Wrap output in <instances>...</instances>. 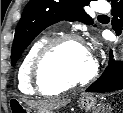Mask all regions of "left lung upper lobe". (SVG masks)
<instances>
[{"label":"left lung upper lobe","instance_id":"left-lung-upper-lobe-1","mask_svg":"<svg viewBox=\"0 0 123 113\" xmlns=\"http://www.w3.org/2000/svg\"><path fill=\"white\" fill-rule=\"evenodd\" d=\"M88 4L89 0H30L16 27L11 53L12 66L31 41L48 26L62 20L92 24L93 21L83 9Z\"/></svg>","mask_w":123,"mask_h":113}]
</instances>
